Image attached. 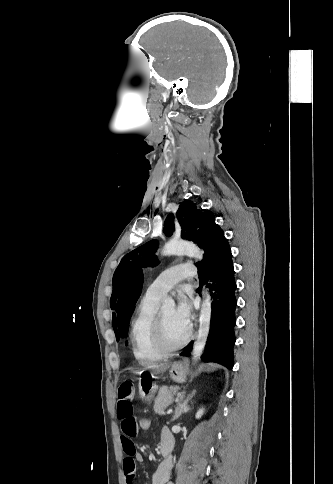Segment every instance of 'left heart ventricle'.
I'll return each instance as SVG.
<instances>
[{
	"label": "left heart ventricle",
	"mask_w": 333,
	"mask_h": 484,
	"mask_svg": "<svg viewBox=\"0 0 333 484\" xmlns=\"http://www.w3.org/2000/svg\"><path fill=\"white\" fill-rule=\"evenodd\" d=\"M164 322L165 334L170 344H176L183 340L188 329L184 328L176 319L174 309H165L161 311Z\"/></svg>",
	"instance_id": "1"
}]
</instances>
